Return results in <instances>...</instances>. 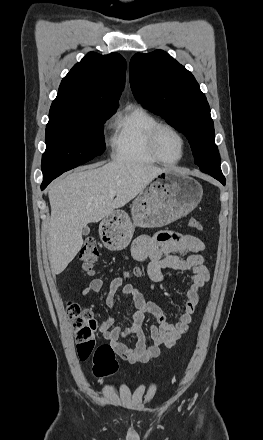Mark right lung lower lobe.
Instances as JSON below:
<instances>
[{"label":"right lung lower lobe","mask_w":263,"mask_h":440,"mask_svg":"<svg viewBox=\"0 0 263 440\" xmlns=\"http://www.w3.org/2000/svg\"><path fill=\"white\" fill-rule=\"evenodd\" d=\"M53 180V178L43 179V183L41 185V189H45L46 186Z\"/></svg>","instance_id":"1"}]
</instances>
